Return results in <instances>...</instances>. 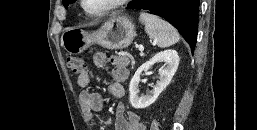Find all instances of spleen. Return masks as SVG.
<instances>
[{
	"mask_svg": "<svg viewBox=\"0 0 257 130\" xmlns=\"http://www.w3.org/2000/svg\"><path fill=\"white\" fill-rule=\"evenodd\" d=\"M140 21L145 25V31L148 36L160 48L172 46L180 40L177 30L154 14L141 12Z\"/></svg>",
	"mask_w": 257,
	"mask_h": 130,
	"instance_id": "3e777b00",
	"label": "spleen"
}]
</instances>
